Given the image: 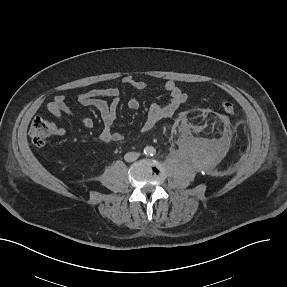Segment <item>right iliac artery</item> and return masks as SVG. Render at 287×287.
Wrapping results in <instances>:
<instances>
[{
  "label": "right iliac artery",
  "instance_id": "82829eb1",
  "mask_svg": "<svg viewBox=\"0 0 287 287\" xmlns=\"http://www.w3.org/2000/svg\"><path fill=\"white\" fill-rule=\"evenodd\" d=\"M144 153H145V154H148V153H149V151H148L147 149H145V150H144Z\"/></svg>",
  "mask_w": 287,
  "mask_h": 287
}]
</instances>
